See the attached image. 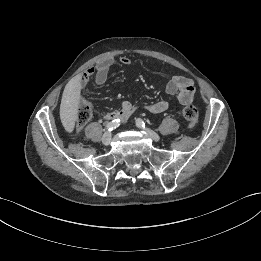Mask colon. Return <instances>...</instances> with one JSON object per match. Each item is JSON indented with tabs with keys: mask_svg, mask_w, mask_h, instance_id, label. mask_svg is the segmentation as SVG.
<instances>
[{
	"mask_svg": "<svg viewBox=\"0 0 261 261\" xmlns=\"http://www.w3.org/2000/svg\"><path fill=\"white\" fill-rule=\"evenodd\" d=\"M93 107L89 101H83L76 113V125L78 127L84 126L92 117ZM182 115L188 122L189 128H194L198 121V111L193 105H186L182 109Z\"/></svg>",
	"mask_w": 261,
	"mask_h": 261,
	"instance_id": "1",
	"label": "colon"
}]
</instances>
